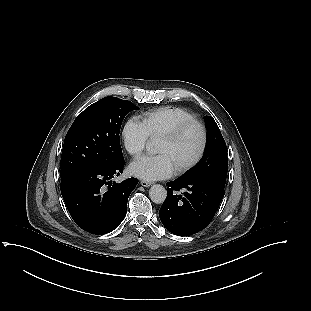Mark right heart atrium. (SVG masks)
Wrapping results in <instances>:
<instances>
[{
	"instance_id": "right-heart-atrium-1",
	"label": "right heart atrium",
	"mask_w": 311,
	"mask_h": 311,
	"mask_svg": "<svg viewBox=\"0 0 311 311\" xmlns=\"http://www.w3.org/2000/svg\"><path fill=\"white\" fill-rule=\"evenodd\" d=\"M122 137L126 150L133 157L140 156L149 141L144 124L134 117L126 121L122 130Z\"/></svg>"
}]
</instances>
